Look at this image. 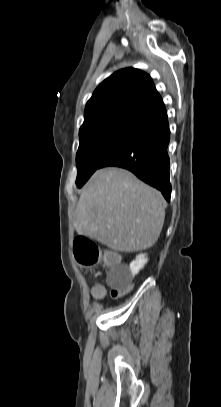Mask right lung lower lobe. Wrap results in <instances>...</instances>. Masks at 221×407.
I'll use <instances>...</instances> for the list:
<instances>
[{
  "mask_svg": "<svg viewBox=\"0 0 221 407\" xmlns=\"http://www.w3.org/2000/svg\"><path fill=\"white\" fill-rule=\"evenodd\" d=\"M165 108L141 123L137 129L100 165L115 166L133 172L138 178L161 191L169 201L170 160L167 152L170 136Z\"/></svg>",
  "mask_w": 221,
  "mask_h": 407,
  "instance_id": "obj_1",
  "label": "right lung lower lobe"
}]
</instances>
